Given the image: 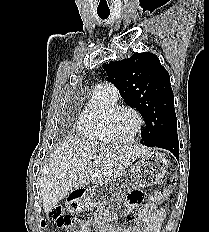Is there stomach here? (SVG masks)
<instances>
[{
	"mask_svg": "<svg viewBox=\"0 0 209 232\" xmlns=\"http://www.w3.org/2000/svg\"><path fill=\"white\" fill-rule=\"evenodd\" d=\"M168 160L159 152H150L127 171H121V176H115L113 182H103L102 186H90L84 198H71V203L80 206H101L112 203V199H125L126 192L156 184L167 171ZM66 214H72L75 221H88L90 209H77V206H68Z\"/></svg>",
	"mask_w": 209,
	"mask_h": 232,
	"instance_id": "0dacf381",
	"label": "stomach"
}]
</instances>
